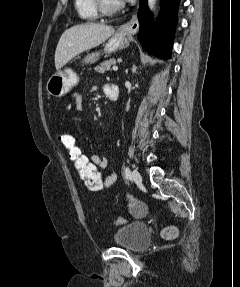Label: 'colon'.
Segmentation results:
<instances>
[{"instance_id": "colon-1", "label": "colon", "mask_w": 240, "mask_h": 287, "mask_svg": "<svg viewBox=\"0 0 240 287\" xmlns=\"http://www.w3.org/2000/svg\"><path fill=\"white\" fill-rule=\"evenodd\" d=\"M57 141L66 153L67 159L77 176L87 188L93 192L101 190L104 186V177L90 157L77 145L75 138L69 133H60L57 135ZM142 215H144L143 212L137 213V216ZM125 220L124 217L119 216L116 218V223L123 224ZM177 233V228L170 226L163 230L162 235L167 239H173L177 236Z\"/></svg>"}]
</instances>
